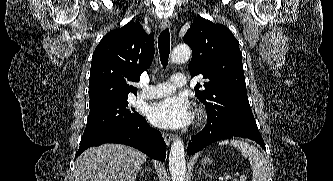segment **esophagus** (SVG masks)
Instances as JSON below:
<instances>
[{"mask_svg": "<svg viewBox=\"0 0 333 181\" xmlns=\"http://www.w3.org/2000/svg\"><path fill=\"white\" fill-rule=\"evenodd\" d=\"M170 21L169 20H163L161 22V28L163 30L170 28ZM163 138L167 143H170L171 141L175 140L177 138V136L175 134H171V133H163Z\"/></svg>", "mask_w": 333, "mask_h": 181, "instance_id": "1", "label": "esophagus"}]
</instances>
